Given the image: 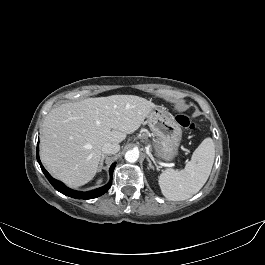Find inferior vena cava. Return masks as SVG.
Instances as JSON below:
<instances>
[{
	"mask_svg": "<svg viewBox=\"0 0 265 265\" xmlns=\"http://www.w3.org/2000/svg\"><path fill=\"white\" fill-rule=\"evenodd\" d=\"M120 146L114 143H106L102 147V154H115L119 151Z\"/></svg>",
	"mask_w": 265,
	"mask_h": 265,
	"instance_id": "1",
	"label": "inferior vena cava"
}]
</instances>
